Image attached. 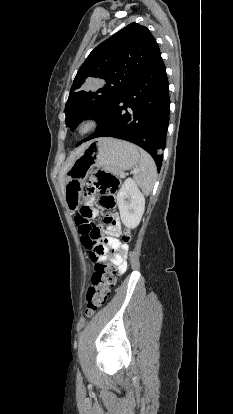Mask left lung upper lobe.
<instances>
[{"mask_svg":"<svg viewBox=\"0 0 233 414\" xmlns=\"http://www.w3.org/2000/svg\"><path fill=\"white\" fill-rule=\"evenodd\" d=\"M160 49L150 31L131 23L89 54L74 79L65 106L67 127L103 117L120 95L153 63ZM95 82L100 84L93 88Z\"/></svg>","mask_w":233,"mask_h":414,"instance_id":"1","label":"left lung upper lobe"}]
</instances>
